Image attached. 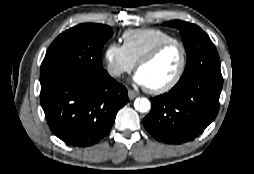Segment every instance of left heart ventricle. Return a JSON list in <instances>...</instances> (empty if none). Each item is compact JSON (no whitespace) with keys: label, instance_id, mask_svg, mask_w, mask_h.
<instances>
[{"label":"left heart ventricle","instance_id":"obj_1","mask_svg":"<svg viewBox=\"0 0 254 174\" xmlns=\"http://www.w3.org/2000/svg\"><path fill=\"white\" fill-rule=\"evenodd\" d=\"M181 64V50L172 45L162 51L152 62L139 68L147 87L157 88L168 83L177 73Z\"/></svg>","mask_w":254,"mask_h":174}]
</instances>
